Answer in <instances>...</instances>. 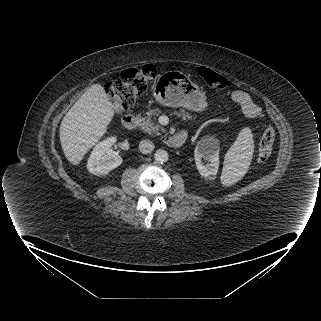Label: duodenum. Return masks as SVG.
<instances>
[{
    "mask_svg": "<svg viewBox=\"0 0 321 321\" xmlns=\"http://www.w3.org/2000/svg\"><path fill=\"white\" fill-rule=\"evenodd\" d=\"M122 125L127 130H133L137 126V118L135 115L126 114L122 117ZM186 141V136L183 134L170 135L165 138L167 146L178 148Z\"/></svg>",
    "mask_w": 321,
    "mask_h": 321,
    "instance_id": "duodenum-1",
    "label": "duodenum"
}]
</instances>
